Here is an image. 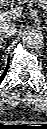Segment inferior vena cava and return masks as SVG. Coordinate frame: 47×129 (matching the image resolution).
<instances>
[{
  "label": "inferior vena cava",
  "instance_id": "inferior-vena-cava-1",
  "mask_svg": "<svg viewBox=\"0 0 47 129\" xmlns=\"http://www.w3.org/2000/svg\"><path fill=\"white\" fill-rule=\"evenodd\" d=\"M16 33V28L13 23L2 22L0 24V34L4 37H10Z\"/></svg>",
  "mask_w": 47,
  "mask_h": 129
}]
</instances>
